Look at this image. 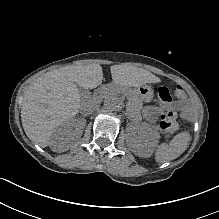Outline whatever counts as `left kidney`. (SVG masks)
Listing matches in <instances>:
<instances>
[{
  "instance_id": "1",
  "label": "left kidney",
  "mask_w": 219,
  "mask_h": 219,
  "mask_svg": "<svg viewBox=\"0 0 219 219\" xmlns=\"http://www.w3.org/2000/svg\"><path fill=\"white\" fill-rule=\"evenodd\" d=\"M160 138V134L158 132H140L137 134L136 145L137 148L148 149L151 150L152 148L158 145V140Z\"/></svg>"
}]
</instances>
